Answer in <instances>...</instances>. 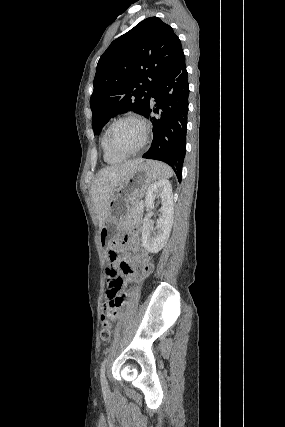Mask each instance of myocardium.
<instances>
[{
	"label": "myocardium",
	"mask_w": 285,
	"mask_h": 427,
	"mask_svg": "<svg viewBox=\"0 0 285 427\" xmlns=\"http://www.w3.org/2000/svg\"><path fill=\"white\" fill-rule=\"evenodd\" d=\"M127 120H131V121H135L138 124H140V126L142 127L143 130V138L142 141L140 142V144L132 151L129 152H125V151H121L117 148H115L113 146V144L111 143V132L113 130V128L115 127V125H117L118 123L122 122V121H127ZM149 132H150V127L148 122L141 116L136 115V114H126L123 116H120L118 118H116L107 128L106 131V144L109 148V150L117 155L123 156V157H129V156H133L135 154H137L138 152H140L147 144L148 142V138H149Z\"/></svg>",
	"instance_id": "myocardium-1"
}]
</instances>
